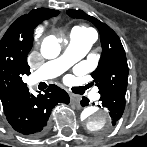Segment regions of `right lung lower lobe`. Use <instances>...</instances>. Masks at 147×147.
Returning a JSON list of instances; mask_svg holds the SVG:
<instances>
[{"label": "right lung lower lobe", "mask_w": 147, "mask_h": 147, "mask_svg": "<svg viewBox=\"0 0 147 147\" xmlns=\"http://www.w3.org/2000/svg\"><path fill=\"white\" fill-rule=\"evenodd\" d=\"M44 94L28 98L5 111L7 121L17 132L30 137L43 134L53 107L58 103L68 104L69 95L56 85H50Z\"/></svg>", "instance_id": "1"}]
</instances>
